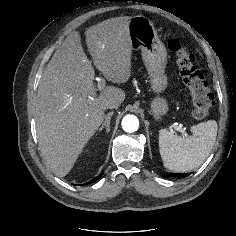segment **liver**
<instances>
[{
    "label": "liver",
    "instance_id": "1",
    "mask_svg": "<svg viewBox=\"0 0 236 236\" xmlns=\"http://www.w3.org/2000/svg\"><path fill=\"white\" fill-rule=\"evenodd\" d=\"M131 17L111 18L86 29V43L94 64L113 83L131 76ZM95 71L80 34L72 32L46 66L38 87L35 120L41 153L58 177L73 168L83 148L104 120L106 104L120 105L125 93L107 86L98 95Z\"/></svg>",
    "mask_w": 236,
    "mask_h": 236
}]
</instances>
